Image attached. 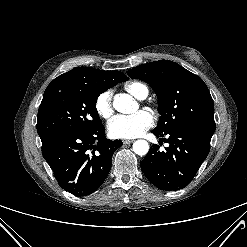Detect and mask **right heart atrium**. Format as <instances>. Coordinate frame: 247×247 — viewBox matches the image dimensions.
I'll list each match as a JSON object with an SVG mask.
<instances>
[{
	"mask_svg": "<svg viewBox=\"0 0 247 247\" xmlns=\"http://www.w3.org/2000/svg\"><path fill=\"white\" fill-rule=\"evenodd\" d=\"M94 108L101 118H110L113 114L112 90L106 89L99 93L95 99Z\"/></svg>",
	"mask_w": 247,
	"mask_h": 247,
	"instance_id": "right-heart-atrium-1",
	"label": "right heart atrium"
}]
</instances>
